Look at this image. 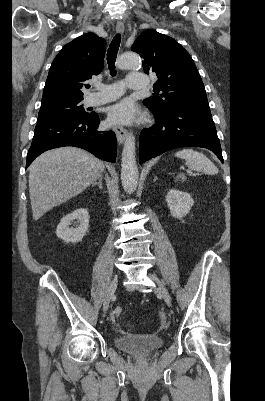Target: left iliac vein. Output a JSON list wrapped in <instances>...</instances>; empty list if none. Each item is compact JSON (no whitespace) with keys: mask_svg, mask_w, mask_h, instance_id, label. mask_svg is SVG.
<instances>
[{"mask_svg":"<svg viewBox=\"0 0 265 401\" xmlns=\"http://www.w3.org/2000/svg\"><path fill=\"white\" fill-rule=\"evenodd\" d=\"M149 277L154 281L158 282L157 278L154 275H149ZM158 290L160 294L163 296V299L165 300L166 304L170 307L172 305V300L166 287L163 284L158 283Z\"/></svg>","mask_w":265,"mask_h":401,"instance_id":"4c4485c4","label":"left iliac vein"}]
</instances>
